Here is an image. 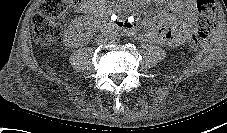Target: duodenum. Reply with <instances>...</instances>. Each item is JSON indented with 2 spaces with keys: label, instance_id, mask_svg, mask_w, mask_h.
I'll list each match as a JSON object with an SVG mask.
<instances>
[{
  "label": "duodenum",
  "instance_id": "duodenum-1",
  "mask_svg": "<svg viewBox=\"0 0 227 133\" xmlns=\"http://www.w3.org/2000/svg\"><path fill=\"white\" fill-rule=\"evenodd\" d=\"M101 27L106 32L120 31L127 29L126 25L120 20L107 19L102 22Z\"/></svg>",
  "mask_w": 227,
  "mask_h": 133
}]
</instances>
